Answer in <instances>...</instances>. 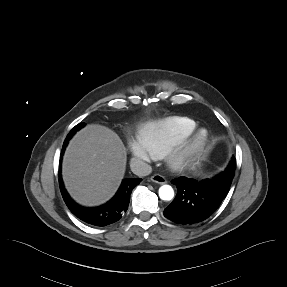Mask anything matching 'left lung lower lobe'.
Here are the masks:
<instances>
[{"label":"left lung lower lobe","mask_w":287,"mask_h":287,"mask_svg":"<svg viewBox=\"0 0 287 287\" xmlns=\"http://www.w3.org/2000/svg\"><path fill=\"white\" fill-rule=\"evenodd\" d=\"M232 162V161H231ZM235 164L212 179L197 181L187 177L172 180L177 195L164 210V216L179 224H193L207 219L226 197L234 177Z\"/></svg>","instance_id":"0a47b994"}]
</instances>
